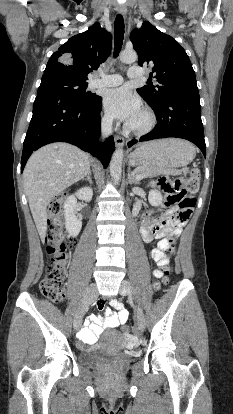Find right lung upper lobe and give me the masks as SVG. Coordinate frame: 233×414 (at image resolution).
I'll use <instances>...</instances> for the list:
<instances>
[{
  "instance_id": "cb5924a9",
  "label": "right lung upper lobe",
  "mask_w": 233,
  "mask_h": 414,
  "mask_svg": "<svg viewBox=\"0 0 233 414\" xmlns=\"http://www.w3.org/2000/svg\"><path fill=\"white\" fill-rule=\"evenodd\" d=\"M111 34L93 24L87 31L71 37L50 57L44 74L78 81L88 80V73L96 70L111 52Z\"/></svg>"
}]
</instances>
